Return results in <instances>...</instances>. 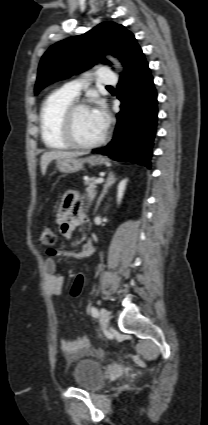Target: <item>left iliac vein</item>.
<instances>
[{
    "instance_id": "1",
    "label": "left iliac vein",
    "mask_w": 208,
    "mask_h": 425,
    "mask_svg": "<svg viewBox=\"0 0 208 425\" xmlns=\"http://www.w3.org/2000/svg\"><path fill=\"white\" fill-rule=\"evenodd\" d=\"M109 320H110L109 312L106 309L102 308L100 310V323L103 329L108 328Z\"/></svg>"
}]
</instances>
